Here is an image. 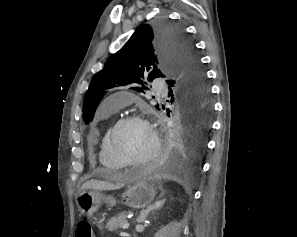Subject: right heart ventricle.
<instances>
[{"mask_svg":"<svg viewBox=\"0 0 297 237\" xmlns=\"http://www.w3.org/2000/svg\"><path fill=\"white\" fill-rule=\"evenodd\" d=\"M112 112H113L112 110L102 108L101 115L108 116ZM106 136H107V133L101 138L99 142L98 160L101 167L105 168L110 173H115L120 171L123 168V166L109 152L107 147Z\"/></svg>","mask_w":297,"mask_h":237,"instance_id":"obj_1","label":"right heart ventricle"}]
</instances>
